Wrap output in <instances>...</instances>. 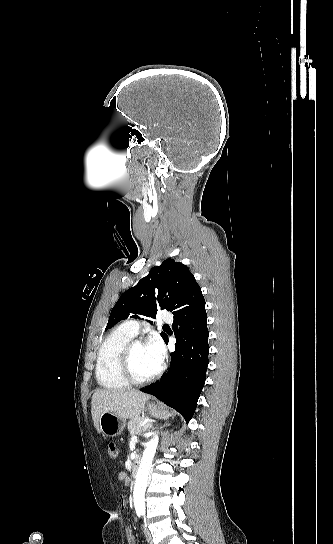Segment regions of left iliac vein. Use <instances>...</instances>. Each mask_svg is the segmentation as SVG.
I'll return each mask as SVG.
<instances>
[{
  "instance_id": "obj_1",
  "label": "left iliac vein",
  "mask_w": 333,
  "mask_h": 544,
  "mask_svg": "<svg viewBox=\"0 0 333 544\" xmlns=\"http://www.w3.org/2000/svg\"><path fill=\"white\" fill-rule=\"evenodd\" d=\"M144 533H145V536H146V539H147L148 543L153 544V538H152L151 532L148 529L146 523L144 524Z\"/></svg>"
}]
</instances>
